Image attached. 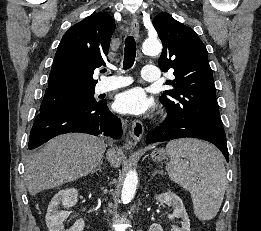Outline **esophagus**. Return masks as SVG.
I'll return each mask as SVG.
<instances>
[{
    "label": "esophagus",
    "instance_id": "obj_1",
    "mask_svg": "<svg viewBox=\"0 0 261 231\" xmlns=\"http://www.w3.org/2000/svg\"><path fill=\"white\" fill-rule=\"evenodd\" d=\"M131 34L139 39V23L136 17L131 19L130 23ZM144 133L143 123L139 120H134L131 125V137L134 143L140 141L142 135Z\"/></svg>",
    "mask_w": 261,
    "mask_h": 231
}]
</instances>
